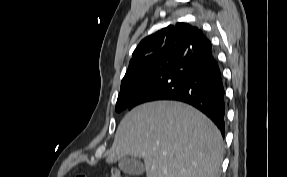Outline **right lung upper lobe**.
<instances>
[{
    "label": "right lung upper lobe",
    "instance_id": "obj_1",
    "mask_svg": "<svg viewBox=\"0 0 287 177\" xmlns=\"http://www.w3.org/2000/svg\"><path fill=\"white\" fill-rule=\"evenodd\" d=\"M201 32L197 27L180 22L144 38L134 50L122 81L168 56L182 59Z\"/></svg>",
    "mask_w": 287,
    "mask_h": 177
}]
</instances>
